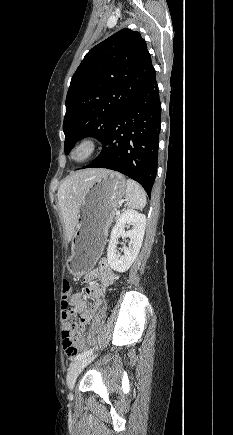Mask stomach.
Returning a JSON list of instances; mask_svg holds the SVG:
<instances>
[{"label":"stomach","mask_w":233,"mask_h":435,"mask_svg":"<svg viewBox=\"0 0 233 435\" xmlns=\"http://www.w3.org/2000/svg\"><path fill=\"white\" fill-rule=\"evenodd\" d=\"M126 192L125 177L108 171L86 191L72 235L67 268L75 277L89 272L99 258L118 202Z\"/></svg>","instance_id":"stomach-1"}]
</instances>
